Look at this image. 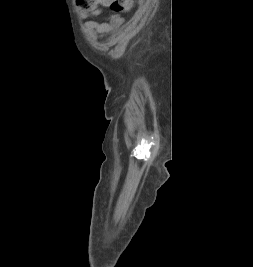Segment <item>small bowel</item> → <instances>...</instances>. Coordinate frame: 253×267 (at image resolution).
I'll return each instance as SVG.
<instances>
[{
  "instance_id": "c3829d8e",
  "label": "small bowel",
  "mask_w": 253,
  "mask_h": 267,
  "mask_svg": "<svg viewBox=\"0 0 253 267\" xmlns=\"http://www.w3.org/2000/svg\"><path fill=\"white\" fill-rule=\"evenodd\" d=\"M123 22V19L118 15H112L108 21H88L85 24V30L88 36L92 40L104 38L106 35L111 33L115 28L119 27Z\"/></svg>"
}]
</instances>
